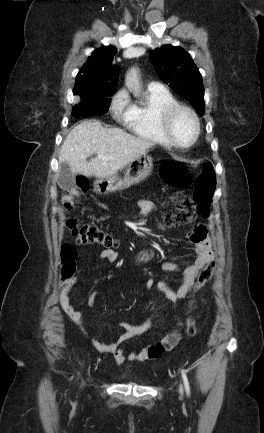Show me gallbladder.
Instances as JSON below:
<instances>
[{
    "label": "gallbladder",
    "mask_w": 264,
    "mask_h": 433,
    "mask_svg": "<svg viewBox=\"0 0 264 433\" xmlns=\"http://www.w3.org/2000/svg\"><path fill=\"white\" fill-rule=\"evenodd\" d=\"M57 183L63 190H69L74 186L75 176L67 163H60Z\"/></svg>",
    "instance_id": "obj_1"
}]
</instances>
